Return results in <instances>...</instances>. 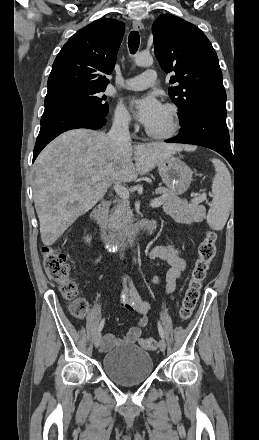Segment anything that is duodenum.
<instances>
[{"label": "duodenum", "mask_w": 259, "mask_h": 440, "mask_svg": "<svg viewBox=\"0 0 259 440\" xmlns=\"http://www.w3.org/2000/svg\"><path fill=\"white\" fill-rule=\"evenodd\" d=\"M110 203L105 201L99 205L90 214V224L98 234L100 240L108 247H117L125 244H133L137 239L151 235L156 227V221L148 220L137 226L136 228L124 233H110L105 226V215L109 209Z\"/></svg>", "instance_id": "410a0bca"}]
</instances>
